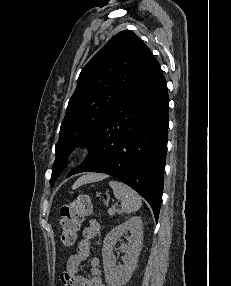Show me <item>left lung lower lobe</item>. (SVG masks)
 <instances>
[{
	"label": "left lung lower lobe",
	"instance_id": "0a47b994",
	"mask_svg": "<svg viewBox=\"0 0 231 286\" xmlns=\"http://www.w3.org/2000/svg\"><path fill=\"white\" fill-rule=\"evenodd\" d=\"M169 98L160 65L130 90L87 143L88 158L68 176L101 172L132 187L151 205L162 200Z\"/></svg>",
	"mask_w": 231,
	"mask_h": 286
}]
</instances>
